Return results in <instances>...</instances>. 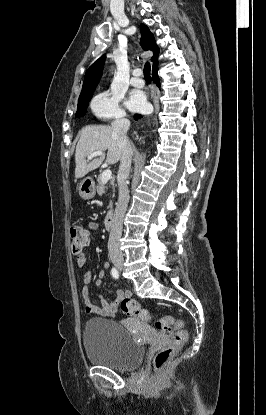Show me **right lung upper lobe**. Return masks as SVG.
I'll use <instances>...</instances> for the list:
<instances>
[{
	"label": "right lung upper lobe",
	"instance_id": "obj_1",
	"mask_svg": "<svg viewBox=\"0 0 266 415\" xmlns=\"http://www.w3.org/2000/svg\"><path fill=\"white\" fill-rule=\"evenodd\" d=\"M140 30H141V46L144 50H153L154 54H153V58L152 61L154 62L153 64V72L156 71L158 69L157 65H158V53H159V49L156 45V42L154 40V36L151 34V32L149 31L148 27L144 24L140 25ZM106 59V55H102L101 57H99L87 70L85 77H84V82H83V87H82V91L80 94L81 96L87 95L91 92H94L101 74H102V70H103V66H104V62Z\"/></svg>",
	"mask_w": 266,
	"mask_h": 415
}]
</instances>
